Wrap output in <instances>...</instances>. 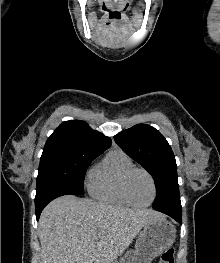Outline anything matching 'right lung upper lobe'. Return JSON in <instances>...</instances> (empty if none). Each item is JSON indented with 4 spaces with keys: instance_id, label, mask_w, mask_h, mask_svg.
I'll return each mask as SVG.
<instances>
[{
    "instance_id": "obj_1",
    "label": "right lung upper lobe",
    "mask_w": 220,
    "mask_h": 263,
    "mask_svg": "<svg viewBox=\"0 0 220 263\" xmlns=\"http://www.w3.org/2000/svg\"><path fill=\"white\" fill-rule=\"evenodd\" d=\"M112 141L83 121L63 122L48 138L44 150H72L101 154Z\"/></svg>"
}]
</instances>
